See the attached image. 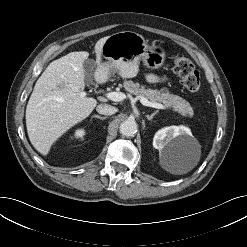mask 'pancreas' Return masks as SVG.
Masks as SVG:
<instances>
[{
	"label": "pancreas",
	"instance_id": "obj_1",
	"mask_svg": "<svg viewBox=\"0 0 247 247\" xmlns=\"http://www.w3.org/2000/svg\"><path fill=\"white\" fill-rule=\"evenodd\" d=\"M123 87L125 90L136 96H143L151 102L163 103L166 107H171L184 117H192L194 112L190 104L178 95H173L168 92L167 88L160 90L146 89L139 83L131 80L124 81Z\"/></svg>",
	"mask_w": 247,
	"mask_h": 247
}]
</instances>
